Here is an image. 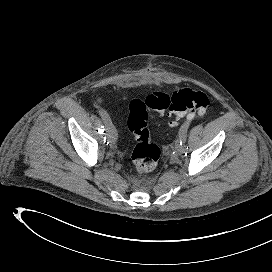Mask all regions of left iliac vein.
<instances>
[{
	"mask_svg": "<svg viewBox=\"0 0 272 272\" xmlns=\"http://www.w3.org/2000/svg\"><path fill=\"white\" fill-rule=\"evenodd\" d=\"M184 146L180 145L179 143H177L175 145V152L179 155L184 151Z\"/></svg>",
	"mask_w": 272,
	"mask_h": 272,
	"instance_id": "4c4485c4",
	"label": "left iliac vein"
}]
</instances>
